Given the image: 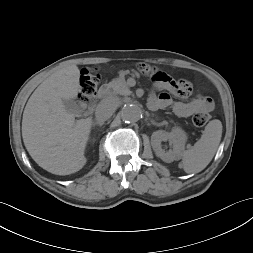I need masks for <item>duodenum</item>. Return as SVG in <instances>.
Masks as SVG:
<instances>
[{
  "label": "duodenum",
  "instance_id": "1",
  "mask_svg": "<svg viewBox=\"0 0 253 253\" xmlns=\"http://www.w3.org/2000/svg\"><path fill=\"white\" fill-rule=\"evenodd\" d=\"M106 95V89L105 88H102L100 91H99V96L100 97H104Z\"/></svg>",
  "mask_w": 253,
  "mask_h": 253
}]
</instances>
